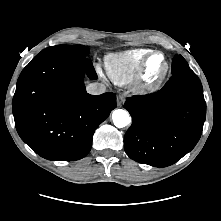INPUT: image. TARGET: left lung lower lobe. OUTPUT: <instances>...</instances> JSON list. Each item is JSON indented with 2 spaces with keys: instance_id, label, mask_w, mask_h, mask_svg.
I'll use <instances>...</instances> for the list:
<instances>
[{
  "instance_id": "left-lung-lower-lobe-1",
  "label": "left lung lower lobe",
  "mask_w": 221,
  "mask_h": 221,
  "mask_svg": "<svg viewBox=\"0 0 221 221\" xmlns=\"http://www.w3.org/2000/svg\"><path fill=\"white\" fill-rule=\"evenodd\" d=\"M132 125L124 136L127 155L142 164L166 167L197 144L206 118L199 78L190 69L175 74L156 93L128 97Z\"/></svg>"
}]
</instances>
